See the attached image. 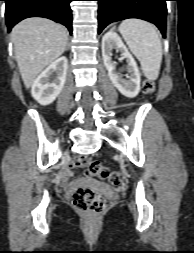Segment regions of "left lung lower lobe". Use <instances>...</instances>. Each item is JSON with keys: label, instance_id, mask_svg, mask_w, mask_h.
Masks as SVG:
<instances>
[{"label": "left lung lower lobe", "instance_id": "left-lung-lower-lobe-1", "mask_svg": "<svg viewBox=\"0 0 194 253\" xmlns=\"http://www.w3.org/2000/svg\"><path fill=\"white\" fill-rule=\"evenodd\" d=\"M98 33L110 23L139 18L154 23L165 37L167 0H97Z\"/></svg>", "mask_w": 194, "mask_h": 253}]
</instances>
